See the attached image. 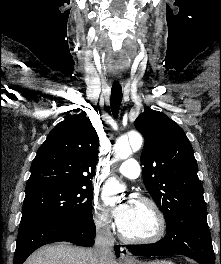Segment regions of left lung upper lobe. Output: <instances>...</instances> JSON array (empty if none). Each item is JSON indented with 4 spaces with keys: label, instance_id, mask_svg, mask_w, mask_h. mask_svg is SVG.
Listing matches in <instances>:
<instances>
[{
    "label": "left lung upper lobe",
    "instance_id": "5c2ea615",
    "mask_svg": "<svg viewBox=\"0 0 221 264\" xmlns=\"http://www.w3.org/2000/svg\"><path fill=\"white\" fill-rule=\"evenodd\" d=\"M135 127L145 138L141 154L143 182L166 223L206 220L197 162L183 129L162 112L151 109L138 116Z\"/></svg>",
    "mask_w": 221,
    "mask_h": 264
}]
</instances>
